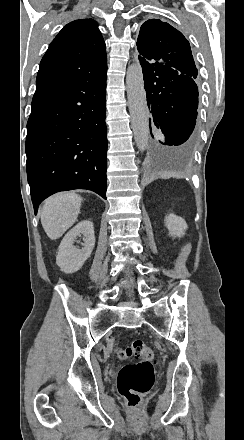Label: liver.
I'll return each instance as SVG.
<instances>
[{
  "mask_svg": "<svg viewBox=\"0 0 244 440\" xmlns=\"http://www.w3.org/2000/svg\"><path fill=\"white\" fill-rule=\"evenodd\" d=\"M82 198L75 192H61L45 200L41 224L50 240L61 238L73 226L80 214Z\"/></svg>",
  "mask_w": 244,
  "mask_h": 440,
  "instance_id": "1",
  "label": "liver"
}]
</instances>
